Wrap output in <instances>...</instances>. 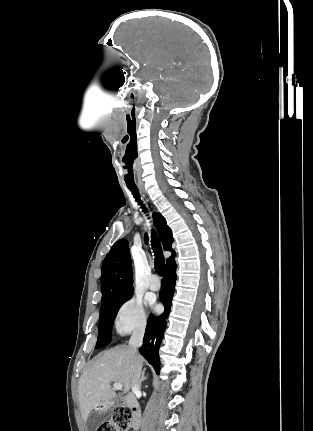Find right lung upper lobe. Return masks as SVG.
Instances as JSON below:
<instances>
[{"label": "right lung upper lobe", "instance_id": "right-lung-upper-lobe-1", "mask_svg": "<svg viewBox=\"0 0 313 431\" xmlns=\"http://www.w3.org/2000/svg\"><path fill=\"white\" fill-rule=\"evenodd\" d=\"M153 217L164 249L171 251L174 241L171 229L167 226L165 218L160 213H153ZM174 254L172 250L171 257ZM132 285L133 277L128 241L120 239L113 245L103 261L101 275L102 302L130 295L133 293Z\"/></svg>", "mask_w": 313, "mask_h": 431}]
</instances>
